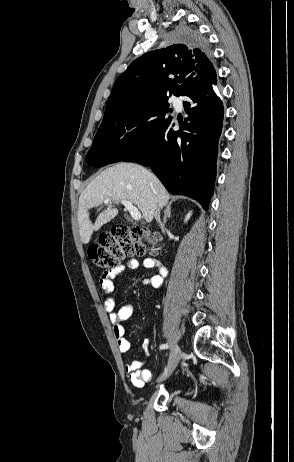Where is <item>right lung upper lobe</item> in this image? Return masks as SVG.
Instances as JSON below:
<instances>
[{
	"label": "right lung upper lobe",
	"mask_w": 294,
	"mask_h": 462,
	"mask_svg": "<svg viewBox=\"0 0 294 462\" xmlns=\"http://www.w3.org/2000/svg\"><path fill=\"white\" fill-rule=\"evenodd\" d=\"M216 76L207 50L176 44L134 60L115 81L104 117L146 100L182 95Z\"/></svg>",
	"instance_id": "1"
}]
</instances>
